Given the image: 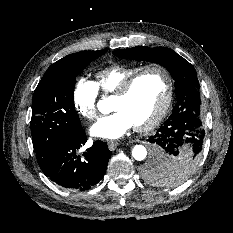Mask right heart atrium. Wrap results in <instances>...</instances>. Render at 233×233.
Masks as SVG:
<instances>
[{"label": "right heart atrium", "mask_w": 233, "mask_h": 233, "mask_svg": "<svg viewBox=\"0 0 233 233\" xmlns=\"http://www.w3.org/2000/svg\"><path fill=\"white\" fill-rule=\"evenodd\" d=\"M98 96L99 91L94 81L79 78L72 91V103L76 112L88 120L96 118Z\"/></svg>", "instance_id": "obj_1"}]
</instances>
